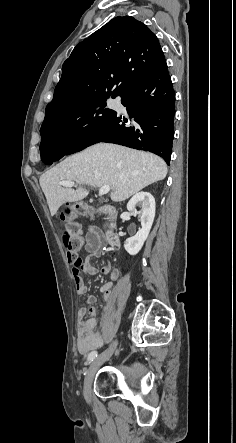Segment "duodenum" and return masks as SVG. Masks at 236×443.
Returning <instances> with one entry per match:
<instances>
[{"mask_svg": "<svg viewBox=\"0 0 236 443\" xmlns=\"http://www.w3.org/2000/svg\"><path fill=\"white\" fill-rule=\"evenodd\" d=\"M105 214L109 217H113L116 214V210L112 208H106ZM106 240L111 249H117L119 246V237L116 233L110 232L106 236Z\"/></svg>", "mask_w": 236, "mask_h": 443, "instance_id": "1", "label": "duodenum"}]
</instances>
